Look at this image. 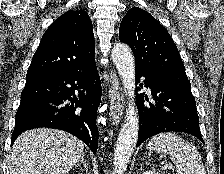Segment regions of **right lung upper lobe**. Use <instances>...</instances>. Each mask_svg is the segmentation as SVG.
<instances>
[{"label": "right lung upper lobe", "mask_w": 224, "mask_h": 174, "mask_svg": "<svg viewBox=\"0 0 224 174\" xmlns=\"http://www.w3.org/2000/svg\"><path fill=\"white\" fill-rule=\"evenodd\" d=\"M91 19L86 11L69 10L44 33L26 74V81L72 71L95 62Z\"/></svg>", "instance_id": "right-lung-upper-lobe-1"}]
</instances>
